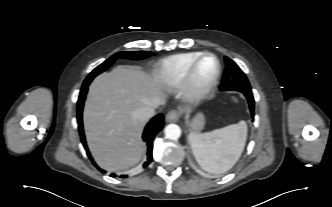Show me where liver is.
<instances>
[{"instance_id":"6515ba94","label":"liver","mask_w":332,"mask_h":207,"mask_svg":"<svg viewBox=\"0 0 332 207\" xmlns=\"http://www.w3.org/2000/svg\"><path fill=\"white\" fill-rule=\"evenodd\" d=\"M163 89L157 74L137 67L118 66L94 79L83 119L89 149L102 169H127L141 159L144 121L135 112L154 102L163 104Z\"/></svg>"}]
</instances>
